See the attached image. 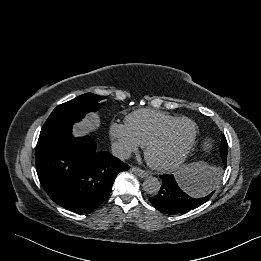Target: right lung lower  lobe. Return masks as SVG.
Returning <instances> with one entry per match:
<instances>
[{"instance_id":"obj_1","label":"right lung lower lobe","mask_w":261,"mask_h":261,"mask_svg":"<svg viewBox=\"0 0 261 261\" xmlns=\"http://www.w3.org/2000/svg\"><path fill=\"white\" fill-rule=\"evenodd\" d=\"M64 120L43 126L36 146V170L49 197L76 212H89L109 195L118 173L129 166L106 151L97 152L88 136L73 138Z\"/></svg>"}]
</instances>
